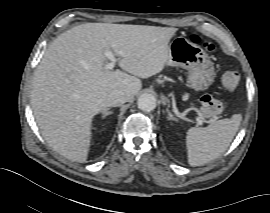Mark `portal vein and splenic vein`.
Wrapping results in <instances>:
<instances>
[{"mask_svg": "<svg viewBox=\"0 0 270 213\" xmlns=\"http://www.w3.org/2000/svg\"><path fill=\"white\" fill-rule=\"evenodd\" d=\"M105 56L110 60V62L105 65V69L107 70L113 69L118 62L117 58L110 50L105 51ZM196 120H197L198 125L200 126L203 125V121L201 120L200 117H197Z\"/></svg>", "mask_w": 270, "mask_h": 213, "instance_id": "obj_1", "label": "portal vein and splenic vein"}]
</instances>
